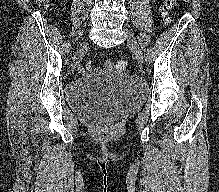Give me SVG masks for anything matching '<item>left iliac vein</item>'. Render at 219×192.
Listing matches in <instances>:
<instances>
[{
	"label": "left iliac vein",
	"mask_w": 219,
	"mask_h": 192,
	"mask_svg": "<svg viewBox=\"0 0 219 192\" xmlns=\"http://www.w3.org/2000/svg\"><path fill=\"white\" fill-rule=\"evenodd\" d=\"M126 34H127V45L129 49L134 54V56L138 58L139 61H143L144 56H143L142 50L139 47L133 33L129 29H126Z\"/></svg>",
	"instance_id": "left-iliac-vein-1"
}]
</instances>
